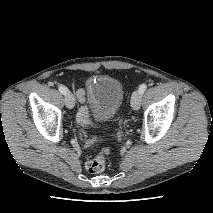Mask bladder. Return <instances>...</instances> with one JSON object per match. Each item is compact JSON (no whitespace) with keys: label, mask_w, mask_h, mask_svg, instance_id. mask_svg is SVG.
<instances>
[{"label":"bladder","mask_w":213,"mask_h":213,"mask_svg":"<svg viewBox=\"0 0 213 213\" xmlns=\"http://www.w3.org/2000/svg\"><path fill=\"white\" fill-rule=\"evenodd\" d=\"M86 96L96 116L110 121L118 114L124 99L121 82L110 75L98 74L87 79Z\"/></svg>","instance_id":"bladder-1"}]
</instances>
